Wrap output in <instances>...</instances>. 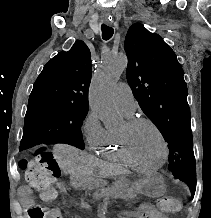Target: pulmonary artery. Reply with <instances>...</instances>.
Listing matches in <instances>:
<instances>
[{"instance_id":"1","label":"pulmonary artery","mask_w":211,"mask_h":218,"mask_svg":"<svg viewBox=\"0 0 211 218\" xmlns=\"http://www.w3.org/2000/svg\"><path fill=\"white\" fill-rule=\"evenodd\" d=\"M115 101L119 108L128 114H133L136 103L131 88L125 83H119L115 88Z\"/></svg>"}]
</instances>
